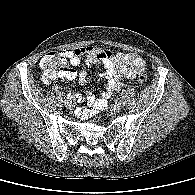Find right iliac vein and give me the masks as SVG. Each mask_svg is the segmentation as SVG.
I'll return each instance as SVG.
<instances>
[{
  "instance_id": "obj_1",
  "label": "right iliac vein",
  "mask_w": 195,
  "mask_h": 195,
  "mask_svg": "<svg viewBox=\"0 0 195 195\" xmlns=\"http://www.w3.org/2000/svg\"><path fill=\"white\" fill-rule=\"evenodd\" d=\"M66 106L70 109L74 108L75 107V103L72 99H68L66 102H65Z\"/></svg>"
}]
</instances>
